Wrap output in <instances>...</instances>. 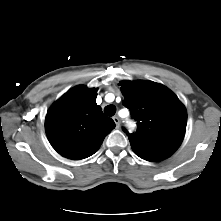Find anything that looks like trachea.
I'll use <instances>...</instances> for the list:
<instances>
[{"mask_svg": "<svg viewBox=\"0 0 221 221\" xmlns=\"http://www.w3.org/2000/svg\"><path fill=\"white\" fill-rule=\"evenodd\" d=\"M104 113L107 116H113L116 113V107L114 105H108L104 108Z\"/></svg>", "mask_w": 221, "mask_h": 221, "instance_id": "3493384b", "label": "trachea"}]
</instances>
